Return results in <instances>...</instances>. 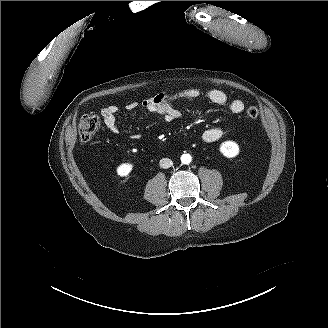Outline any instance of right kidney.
I'll list each match as a JSON object with an SVG mask.
<instances>
[{"instance_id": "ca27d5eb", "label": "right kidney", "mask_w": 328, "mask_h": 328, "mask_svg": "<svg viewBox=\"0 0 328 328\" xmlns=\"http://www.w3.org/2000/svg\"><path fill=\"white\" fill-rule=\"evenodd\" d=\"M133 166L131 164H121L118 169L117 172L120 176H127L131 170H132Z\"/></svg>"}]
</instances>
